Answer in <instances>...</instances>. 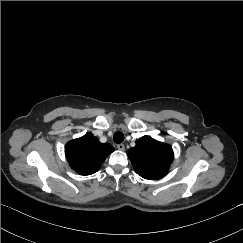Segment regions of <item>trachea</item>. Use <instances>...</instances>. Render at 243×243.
Listing matches in <instances>:
<instances>
[{"label":"trachea","instance_id":"obj_1","mask_svg":"<svg viewBox=\"0 0 243 243\" xmlns=\"http://www.w3.org/2000/svg\"><path fill=\"white\" fill-rule=\"evenodd\" d=\"M113 140L115 143L120 144L124 140V135L121 132H116L113 136Z\"/></svg>","mask_w":243,"mask_h":243}]
</instances>
